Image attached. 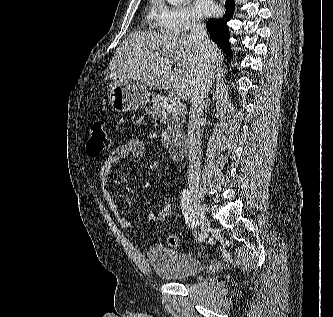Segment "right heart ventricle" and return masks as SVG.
I'll use <instances>...</instances> for the list:
<instances>
[{
  "mask_svg": "<svg viewBox=\"0 0 333 317\" xmlns=\"http://www.w3.org/2000/svg\"><path fill=\"white\" fill-rule=\"evenodd\" d=\"M157 11H158L157 0H151L149 10H148V18L151 21L156 20Z\"/></svg>",
  "mask_w": 333,
  "mask_h": 317,
  "instance_id": "right-heart-ventricle-1",
  "label": "right heart ventricle"
}]
</instances>
